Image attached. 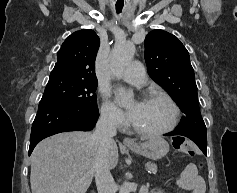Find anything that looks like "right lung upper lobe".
Segmentation results:
<instances>
[{"label": "right lung upper lobe", "instance_id": "1", "mask_svg": "<svg viewBox=\"0 0 237 193\" xmlns=\"http://www.w3.org/2000/svg\"><path fill=\"white\" fill-rule=\"evenodd\" d=\"M99 45V37L93 30L74 32L63 42L50 75L97 80L94 67Z\"/></svg>", "mask_w": 237, "mask_h": 193}]
</instances>
